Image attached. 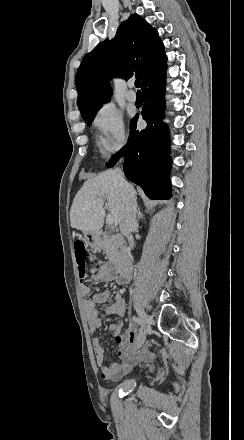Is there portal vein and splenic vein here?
<instances>
[{
  "instance_id": "18ae733b",
  "label": "portal vein and splenic vein",
  "mask_w": 244,
  "mask_h": 440,
  "mask_svg": "<svg viewBox=\"0 0 244 440\" xmlns=\"http://www.w3.org/2000/svg\"><path fill=\"white\" fill-rule=\"evenodd\" d=\"M113 222H114L113 216H111V214H107V216H106V224H107V226H112Z\"/></svg>"
}]
</instances>
